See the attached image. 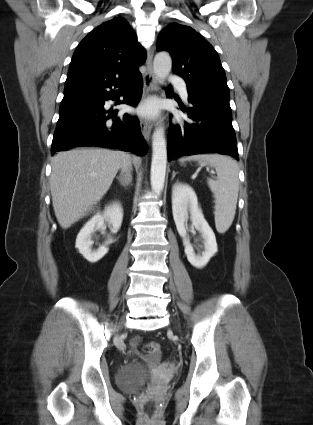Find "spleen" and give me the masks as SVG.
Masks as SVG:
<instances>
[{"instance_id":"obj_1","label":"spleen","mask_w":313,"mask_h":425,"mask_svg":"<svg viewBox=\"0 0 313 425\" xmlns=\"http://www.w3.org/2000/svg\"><path fill=\"white\" fill-rule=\"evenodd\" d=\"M196 160L215 168L217 179H208V186L215 198V225L219 233H225L231 226L238 199V165L231 157L219 154L194 155L180 160Z\"/></svg>"}]
</instances>
